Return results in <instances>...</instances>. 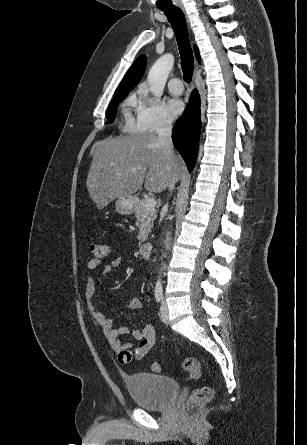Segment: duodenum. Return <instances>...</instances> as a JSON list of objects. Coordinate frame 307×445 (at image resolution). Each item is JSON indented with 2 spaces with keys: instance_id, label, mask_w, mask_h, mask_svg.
Masks as SVG:
<instances>
[{
  "instance_id": "1",
  "label": "duodenum",
  "mask_w": 307,
  "mask_h": 445,
  "mask_svg": "<svg viewBox=\"0 0 307 445\" xmlns=\"http://www.w3.org/2000/svg\"><path fill=\"white\" fill-rule=\"evenodd\" d=\"M152 251V244L151 243H143L139 247V253L142 257L148 258Z\"/></svg>"
}]
</instances>
